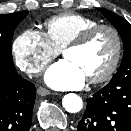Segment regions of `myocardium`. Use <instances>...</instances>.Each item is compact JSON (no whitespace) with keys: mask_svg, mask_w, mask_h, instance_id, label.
Returning a JSON list of instances; mask_svg holds the SVG:
<instances>
[{"mask_svg":"<svg viewBox=\"0 0 131 131\" xmlns=\"http://www.w3.org/2000/svg\"><path fill=\"white\" fill-rule=\"evenodd\" d=\"M101 30H107L112 33L115 39L114 56L109 66L101 74L87 79L88 83L90 84H99L105 82L116 72L123 54V40L119 30L109 24H97L82 31L76 38H74L62 49V54L64 55L69 50L81 48L85 46L88 41Z\"/></svg>","mask_w":131,"mask_h":131,"instance_id":"1","label":"myocardium"}]
</instances>
